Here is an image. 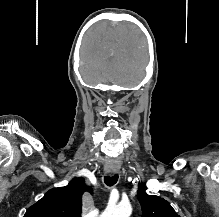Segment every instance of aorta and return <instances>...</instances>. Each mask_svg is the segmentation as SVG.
<instances>
[{
  "mask_svg": "<svg viewBox=\"0 0 219 217\" xmlns=\"http://www.w3.org/2000/svg\"><path fill=\"white\" fill-rule=\"evenodd\" d=\"M132 207L129 203H121L115 207H108L100 217H130Z\"/></svg>",
  "mask_w": 219,
  "mask_h": 217,
  "instance_id": "762f6f07",
  "label": "aorta"
}]
</instances>
